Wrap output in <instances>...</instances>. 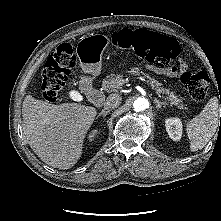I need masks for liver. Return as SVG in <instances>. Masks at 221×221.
Here are the masks:
<instances>
[{
  "label": "liver",
  "mask_w": 221,
  "mask_h": 221,
  "mask_svg": "<svg viewBox=\"0 0 221 221\" xmlns=\"http://www.w3.org/2000/svg\"><path fill=\"white\" fill-rule=\"evenodd\" d=\"M97 110L78 103L51 104L27 95L22 105L23 132L35 154L60 169L73 167Z\"/></svg>",
  "instance_id": "obj_1"
}]
</instances>
